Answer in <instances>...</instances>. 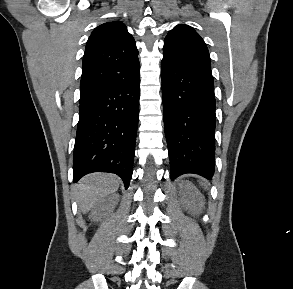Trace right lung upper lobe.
Returning <instances> with one entry per match:
<instances>
[{
	"label": "right lung upper lobe",
	"mask_w": 293,
	"mask_h": 289,
	"mask_svg": "<svg viewBox=\"0 0 293 289\" xmlns=\"http://www.w3.org/2000/svg\"><path fill=\"white\" fill-rule=\"evenodd\" d=\"M136 42L119 22H107L94 29L83 56L80 102L139 76Z\"/></svg>",
	"instance_id": "obj_1"
}]
</instances>
